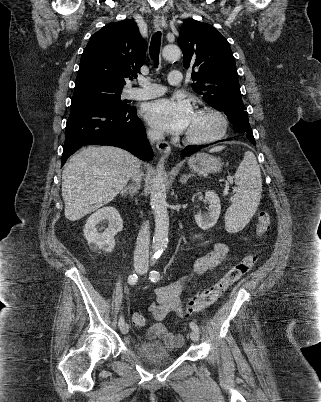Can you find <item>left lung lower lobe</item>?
Returning <instances> with one entry per match:
<instances>
[{
  "instance_id": "0a47b994",
  "label": "left lung lower lobe",
  "mask_w": 321,
  "mask_h": 402,
  "mask_svg": "<svg viewBox=\"0 0 321 402\" xmlns=\"http://www.w3.org/2000/svg\"><path fill=\"white\" fill-rule=\"evenodd\" d=\"M230 123L234 126V129H235L236 132H243V133H246L247 135H250V137H248V139L255 145V139L250 134V131H252V130H249L247 128V122H245V121H243L241 119H235V120L230 121ZM220 141H224V140H220ZM206 146H208V145H201V146L196 147V148H185L184 149L185 155L190 156L194 152H197V151H199L200 149H202V148H204Z\"/></svg>"
}]
</instances>
